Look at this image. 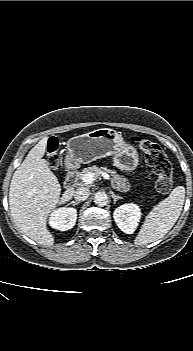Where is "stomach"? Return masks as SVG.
I'll return each mask as SVG.
<instances>
[{"mask_svg": "<svg viewBox=\"0 0 193 351\" xmlns=\"http://www.w3.org/2000/svg\"><path fill=\"white\" fill-rule=\"evenodd\" d=\"M66 165L88 164L113 156V165L121 171L135 170L139 165L137 149L126 143L122 135L109 128L97 129L69 139Z\"/></svg>", "mask_w": 193, "mask_h": 351, "instance_id": "obj_1", "label": "stomach"}]
</instances>
